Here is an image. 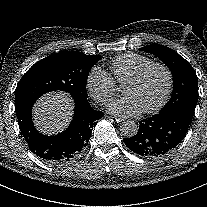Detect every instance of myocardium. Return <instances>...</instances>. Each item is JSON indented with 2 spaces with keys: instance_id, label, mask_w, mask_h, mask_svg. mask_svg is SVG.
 <instances>
[{
  "instance_id": "obj_1",
  "label": "myocardium",
  "mask_w": 207,
  "mask_h": 207,
  "mask_svg": "<svg viewBox=\"0 0 207 207\" xmlns=\"http://www.w3.org/2000/svg\"><path fill=\"white\" fill-rule=\"evenodd\" d=\"M156 67L162 69L166 73L167 87H166L165 93H164L161 101L155 107L140 112L141 116H148V115L156 114L167 104V102L171 96L173 86H174L173 73L166 64L161 63V62H152V63L144 66L142 69H140L137 73H135L133 76H131L130 78H128L124 82V85L138 83L151 69L156 68Z\"/></svg>"
}]
</instances>
